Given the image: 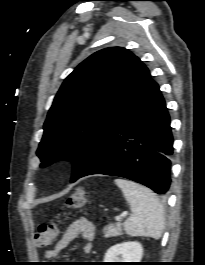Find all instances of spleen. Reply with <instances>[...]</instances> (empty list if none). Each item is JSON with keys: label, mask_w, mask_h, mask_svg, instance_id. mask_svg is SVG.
Here are the masks:
<instances>
[{"label": "spleen", "mask_w": 205, "mask_h": 265, "mask_svg": "<svg viewBox=\"0 0 205 265\" xmlns=\"http://www.w3.org/2000/svg\"><path fill=\"white\" fill-rule=\"evenodd\" d=\"M130 204L131 216L124 222L129 236H145L158 240L165 228L163 206L149 188L130 180L115 179Z\"/></svg>", "instance_id": "obj_1"}]
</instances>
